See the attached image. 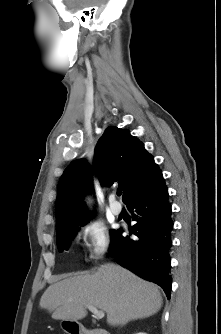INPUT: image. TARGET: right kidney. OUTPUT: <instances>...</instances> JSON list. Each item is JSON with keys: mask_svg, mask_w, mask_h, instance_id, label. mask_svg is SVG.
<instances>
[{"mask_svg": "<svg viewBox=\"0 0 221 334\" xmlns=\"http://www.w3.org/2000/svg\"><path fill=\"white\" fill-rule=\"evenodd\" d=\"M137 334H146V333H137Z\"/></svg>", "mask_w": 221, "mask_h": 334, "instance_id": "ca27d5eb", "label": "right kidney"}]
</instances>
